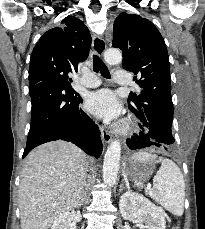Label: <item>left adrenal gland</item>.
<instances>
[{
  "label": "left adrenal gland",
  "mask_w": 205,
  "mask_h": 229,
  "mask_svg": "<svg viewBox=\"0 0 205 229\" xmlns=\"http://www.w3.org/2000/svg\"><path fill=\"white\" fill-rule=\"evenodd\" d=\"M124 186H125V184H124V182H122V184L120 186V190H119L120 192L123 190Z\"/></svg>",
  "instance_id": "obj_1"
}]
</instances>
